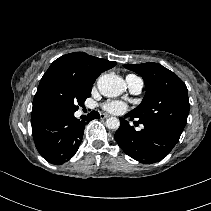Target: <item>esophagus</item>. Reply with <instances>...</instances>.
Instances as JSON below:
<instances>
[{"label": "esophagus", "instance_id": "34e87169", "mask_svg": "<svg viewBox=\"0 0 211 211\" xmlns=\"http://www.w3.org/2000/svg\"><path fill=\"white\" fill-rule=\"evenodd\" d=\"M100 117H101L102 119H105V118L110 117V115L105 114V113H101V114H100Z\"/></svg>", "mask_w": 211, "mask_h": 211}]
</instances>
